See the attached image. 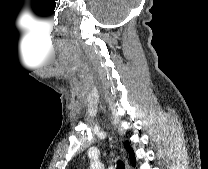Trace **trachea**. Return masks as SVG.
Segmentation results:
<instances>
[{
    "label": "trachea",
    "instance_id": "obj_1",
    "mask_svg": "<svg viewBox=\"0 0 208 169\" xmlns=\"http://www.w3.org/2000/svg\"><path fill=\"white\" fill-rule=\"evenodd\" d=\"M117 169H125L123 162L120 160L117 161Z\"/></svg>",
    "mask_w": 208,
    "mask_h": 169
}]
</instances>
